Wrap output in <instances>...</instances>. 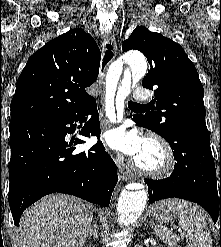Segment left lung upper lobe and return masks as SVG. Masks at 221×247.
Instances as JSON below:
<instances>
[{
	"instance_id": "1",
	"label": "left lung upper lobe",
	"mask_w": 221,
	"mask_h": 247,
	"mask_svg": "<svg viewBox=\"0 0 221 247\" xmlns=\"http://www.w3.org/2000/svg\"><path fill=\"white\" fill-rule=\"evenodd\" d=\"M122 49H136L146 56L150 70L142 85L157 87L153 100L155 110L138 115L144 127L162 136L170 145L182 137L208 132L202 83L178 43L140 26L123 42Z\"/></svg>"
}]
</instances>
